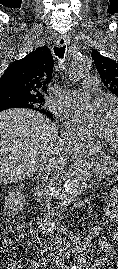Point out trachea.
Here are the masks:
<instances>
[{"label":"trachea","mask_w":118,"mask_h":269,"mask_svg":"<svg viewBox=\"0 0 118 269\" xmlns=\"http://www.w3.org/2000/svg\"><path fill=\"white\" fill-rule=\"evenodd\" d=\"M65 49H66V46H62V47H56L54 46V53L57 57L59 58H63L64 57V54H65Z\"/></svg>","instance_id":"trachea-1"}]
</instances>
